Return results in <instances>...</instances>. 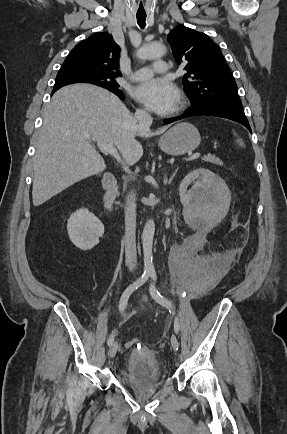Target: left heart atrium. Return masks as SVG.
Returning <instances> with one entry per match:
<instances>
[{
    "instance_id": "39dd6f15",
    "label": "left heart atrium",
    "mask_w": 287,
    "mask_h": 434,
    "mask_svg": "<svg viewBox=\"0 0 287 434\" xmlns=\"http://www.w3.org/2000/svg\"><path fill=\"white\" fill-rule=\"evenodd\" d=\"M135 99L158 114H167L174 110L178 103L176 87L164 80L153 79L134 88Z\"/></svg>"
}]
</instances>
